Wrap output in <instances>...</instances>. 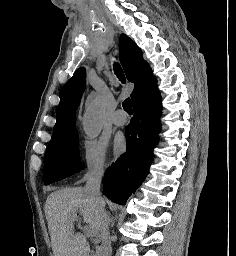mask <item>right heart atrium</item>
Returning a JSON list of instances; mask_svg holds the SVG:
<instances>
[{"instance_id":"d8ad5b80","label":"right heart atrium","mask_w":236,"mask_h":256,"mask_svg":"<svg viewBox=\"0 0 236 256\" xmlns=\"http://www.w3.org/2000/svg\"><path fill=\"white\" fill-rule=\"evenodd\" d=\"M80 159L82 179L100 178L107 167L105 144L98 140L85 141Z\"/></svg>"}]
</instances>
